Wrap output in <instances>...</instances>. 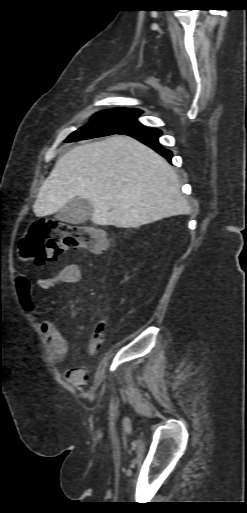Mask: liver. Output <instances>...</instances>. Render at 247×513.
<instances>
[{
    "label": "liver",
    "instance_id": "1",
    "mask_svg": "<svg viewBox=\"0 0 247 513\" xmlns=\"http://www.w3.org/2000/svg\"><path fill=\"white\" fill-rule=\"evenodd\" d=\"M76 197L91 202V221L102 226L137 228L190 212L169 163L123 135L76 146L60 157L33 211L37 217L48 216Z\"/></svg>",
    "mask_w": 247,
    "mask_h": 513
}]
</instances>
